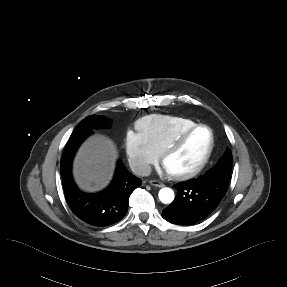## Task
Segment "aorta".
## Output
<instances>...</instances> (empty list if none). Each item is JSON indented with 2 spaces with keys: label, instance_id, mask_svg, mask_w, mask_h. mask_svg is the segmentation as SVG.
<instances>
[{
  "label": "aorta",
  "instance_id": "762f6f07",
  "mask_svg": "<svg viewBox=\"0 0 287 287\" xmlns=\"http://www.w3.org/2000/svg\"><path fill=\"white\" fill-rule=\"evenodd\" d=\"M159 200L164 204H170L174 200V191L171 188L164 187L158 194Z\"/></svg>",
  "mask_w": 287,
  "mask_h": 287
}]
</instances>
